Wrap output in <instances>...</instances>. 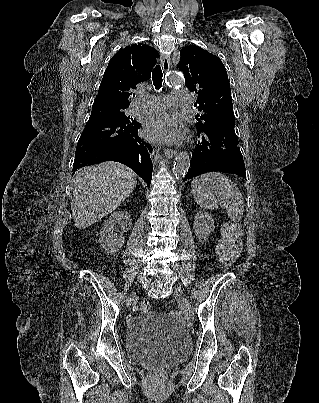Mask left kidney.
<instances>
[{
  "instance_id": "obj_1",
  "label": "left kidney",
  "mask_w": 319,
  "mask_h": 403,
  "mask_svg": "<svg viewBox=\"0 0 319 403\" xmlns=\"http://www.w3.org/2000/svg\"><path fill=\"white\" fill-rule=\"evenodd\" d=\"M194 230L201 243L207 242L214 230V220L208 212L199 211L194 220Z\"/></svg>"
}]
</instances>
